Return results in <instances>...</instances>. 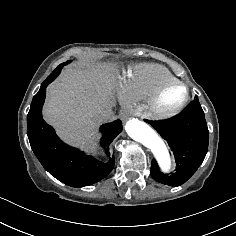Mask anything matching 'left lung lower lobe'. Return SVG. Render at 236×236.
I'll use <instances>...</instances> for the list:
<instances>
[{"label":"left lung lower lobe","instance_id":"0a47b994","mask_svg":"<svg viewBox=\"0 0 236 236\" xmlns=\"http://www.w3.org/2000/svg\"><path fill=\"white\" fill-rule=\"evenodd\" d=\"M145 121L167 141L176 160V172L170 176L163 174L152 160L151 176L169 186L182 185L196 172L208 151L209 131L198 97L171 119Z\"/></svg>","mask_w":236,"mask_h":236}]
</instances>
